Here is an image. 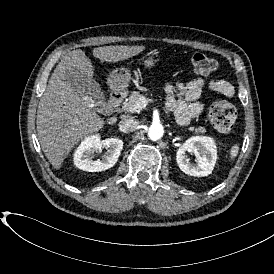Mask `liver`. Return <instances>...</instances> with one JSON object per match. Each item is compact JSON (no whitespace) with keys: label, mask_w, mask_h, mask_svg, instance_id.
I'll use <instances>...</instances> for the list:
<instances>
[{"label":"liver","mask_w":274,"mask_h":274,"mask_svg":"<svg viewBox=\"0 0 274 274\" xmlns=\"http://www.w3.org/2000/svg\"><path fill=\"white\" fill-rule=\"evenodd\" d=\"M146 49L142 45L95 47L93 56L101 62L128 60ZM93 62L81 49L68 52L50 76L37 109L36 128L42 151L51 165L60 170L76 145L92 137L106 126L74 89L83 77L95 78Z\"/></svg>","instance_id":"obj_1"}]
</instances>
